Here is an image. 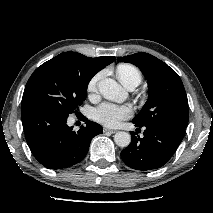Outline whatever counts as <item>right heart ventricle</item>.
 <instances>
[{"label":"right heart ventricle","mask_w":213,"mask_h":213,"mask_svg":"<svg viewBox=\"0 0 213 213\" xmlns=\"http://www.w3.org/2000/svg\"><path fill=\"white\" fill-rule=\"evenodd\" d=\"M117 76L120 82L127 86L128 84L135 82L137 84L141 81V74L139 70L130 64H120L117 67Z\"/></svg>","instance_id":"1"}]
</instances>
